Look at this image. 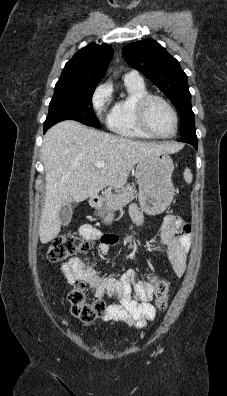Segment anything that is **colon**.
I'll list each match as a JSON object with an SVG mask.
<instances>
[{"label":"colon","mask_w":227,"mask_h":396,"mask_svg":"<svg viewBox=\"0 0 227 396\" xmlns=\"http://www.w3.org/2000/svg\"><path fill=\"white\" fill-rule=\"evenodd\" d=\"M90 250L89 243L74 234H66L55 238L49 246L47 255L50 261L60 262L76 254H87ZM149 282L154 286L155 307L163 311L167 307L169 284L166 280L155 274H149ZM86 282L76 280L68 299L71 304L72 314L82 322H92L106 314L107 304L103 298L92 303L86 301Z\"/></svg>","instance_id":"colon-1"}]
</instances>
